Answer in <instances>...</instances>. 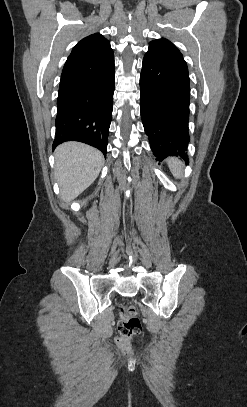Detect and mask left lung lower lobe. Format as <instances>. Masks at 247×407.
<instances>
[{"instance_id": "left-lung-lower-lobe-1", "label": "left lung lower lobe", "mask_w": 247, "mask_h": 407, "mask_svg": "<svg viewBox=\"0 0 247 407\" xmlns=\"http://www.w3.org/2000/svg\"><path fill=\"white\" fill-rule=\"evenodd\" d=\"M141 118L159 161L180 156L187 162L190 85L184 60L148 51L140 75Z\"/></svg>"}]
</instances>
